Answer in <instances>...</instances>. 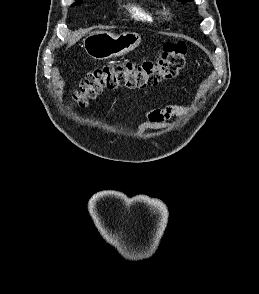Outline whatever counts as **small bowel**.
<instances>
[{"instance_id":"small-bowel-1","label":"small bowel","mask_w":259,"mask_h":294,"mask_svg":"<svg viewBox=\"0 0 259 294\" xmlns=\"http://www.w3.org/2000/svg\"><path fill=\"white\" fill-rule=\"evenodd\" d=\"M190 111L189 106L181 105H169L164 108H153L147 112V118L149 122L155 124H161L167 122L174 116H182ZM145 128L142 126L139 128L138 133L141 135L144 133Z\"/></svg>"}]
</instances>
